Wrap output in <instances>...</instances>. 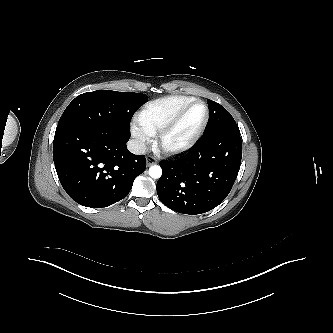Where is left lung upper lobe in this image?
I'll use <instances>...</instances> for the list:
<instances>
[{
    "mask_svg": "<svg viewBox=\"0 0 333 333\" xmlns=\"http://www.w3.org/2000/svg\"><path fill=\"white\" fill-rule=\"evenodd\" d=\"M209 105V121L204 134L209 135L222 131L240 132L232 115L220 104L207 100Z\"/></svg>",
    "mask_w": 333,
    "mask_h": 333,
    "instance_id": "obj_1",
    "label": "left lung upper lobe"
}]
</instances>
